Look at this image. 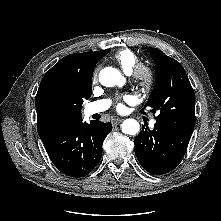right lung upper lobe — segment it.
I'll return each mask as SVG.
<instances>
[{
	"instance_id": "obj_1",
	"label": "right lung upper lobe",
	"mask_w": 221,
	"mask_h": 221,
	"mask_svg": "<svg viewBox=\"0 0 221 221\" xmlns=\"http://www.w3.org/2000/svg\"><path fill=\"white\" fill-rule=\"evenodd\" d=\"M109 52L110 49L70 54L47 71L35 98L40 138L82 119L83 100L92 93L93 70Z\"/></svg>"
}]
</instances>
